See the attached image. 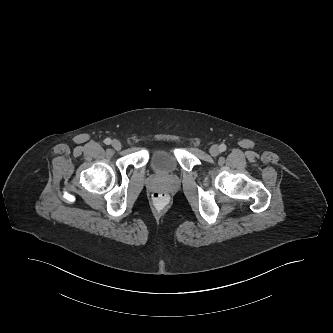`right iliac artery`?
Segmentation results:
<instances>
[{"label": "right iliac artery", "instance_id": "82829eb1", "mask_svg": "<svg viewBox=\"0 0 333 333\" xmlns=\"http://www.w3.org/2000/svg\"><path fill=\"white\" fill-rule=\"evenodd\" d=\"M104 143L107 144V145L111 144V139L110 138H106L104 140Z\"/></svg>", "mask_w": 333, "mask_h": 333}]
</instances>
